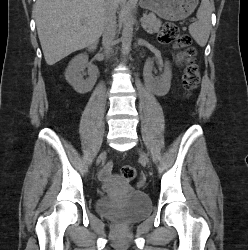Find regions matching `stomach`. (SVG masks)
Instances as JSON below:
<instances>
[{
	"mask_svg": "<svg viewBox=\"0 0 248 250\" xmlns=\"http://www.w3.org/2000/svg\"><path fill=\"white\" fill-rule=\"evenodd\" d=\"M139 4L164 19L178 21L191 15L198 0H140Z\"/></svg>",
	"mask_w": 248,
	"mask_h": 250,
	"instance_id": "0dacf381",
	"label": "stomach"
}]
</instances>
